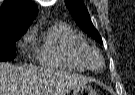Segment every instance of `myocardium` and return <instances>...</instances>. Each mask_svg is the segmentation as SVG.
Returning a JSON list of instances; mask_svg holds the SVG:
<instances>
[{"mask_svg":"<svg viewBox=\"0 0 135 95\" xmlns=\"http://www.w3.org/2000/svg\"><path fill=\"white\" fill-rule=\"evenodd\" d=\"M82 57L89 69L99 70L104 65L101 54L93 48H88L82 53Z\"/></svg>","mask_w":135,"mask_h":95,"instance_id":"1","label":"myocardium"}]
</instances>
